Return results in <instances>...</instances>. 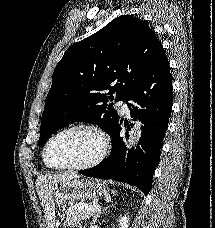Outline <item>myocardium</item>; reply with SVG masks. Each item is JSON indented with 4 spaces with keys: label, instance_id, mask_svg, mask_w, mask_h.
Instances as JSON below:
<instances>
[{
    "label": "myocardium",
    "instance_id": "1",
    "mask_svg": "<svg viewBox=\"0 0 215 228\" xmlns=\"http://www.w3.org/2000/svg\"><path fill=\"white\" fill-rule=\"evenodd\" d=\"M75 129H86L93 131L96 133L100 139L101 142V147L99 152L89 161L82 163V164H75V165H68V166H61V167H55L52 166L48 160H47V152L48 149L51 145V143L61 134L75 130ZM110 150V140L108 135L105 133V131L100 128L99 126L91 123H85V122H79V123H74L70 124L68 126L63 127L62 129L58 130L56 133H54L45 143L43 151H42V160L44 165L49 168L50 170L53 171H65V170H73V171H80V170H85L92 168L98 164H100L103 159L106 157Z\"/></svg>",
    "mask_w": 215,
    "mask_h": 228
}]
</instances>
